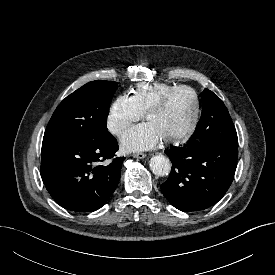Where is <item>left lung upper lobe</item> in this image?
Segmentation results:
<instances>
[{
  "label": "left lung upper lobe",
  "mask_w": 275,
  "mask_h": 275,
  "mask_svg": "<svg viewBox=\"0 0 275 275\" xmlns=\"http://www.w3.org/2000/svg\"><path fill=\"white\" fill-rule=\"evenodd\" d=\"M238 146L236 129L221 99L212 91H203L202 115L187 146L195 145Z\"/></svg>",
  "instance_id": "left-lung-upper-lobe-1"
}]
</instances>
